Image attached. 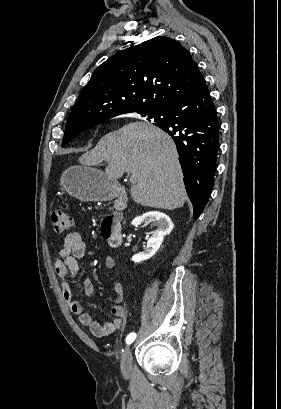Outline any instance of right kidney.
I'll return each mask as SVG.
<instances>
[{
    "label": "right kidney",
    "instance_id": "obj_1",
    "mask_svg": "<svg viewBox=\"0 0 281 409\" xmlns=\"http://www.w3.org/2000/svg\"><path fill=\"white\" fill-rule=\"evenodd\" d=\"M141 223H157L158 229L153 231L152 237L148 239V243L143 253L133 255L131 261H134V263L147 261V259L153 257L158 249H160V245H162L165 235H169L174 227L170 217L165 215V213H159V211H149V213H144L141 217H135L131 225L137 227V225H141Z\"/></svg>",
    "mask_w": 281,
    "mask_h": 409
}]
</instances>
